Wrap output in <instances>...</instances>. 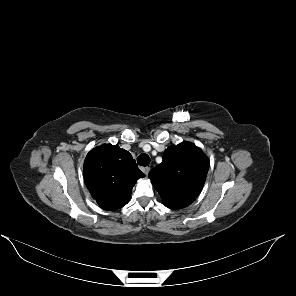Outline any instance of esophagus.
Returning <instances> with one entry per match:
<instances>
[{"label": "esophagus", "instance_id": "34e87169", "mask_svg": "<svg viewBox=\"0 0 296 296\" xmlns=\"http://www.w3.org/2000/svg\"><path fill=\"white\" fill-rule=\"evenodd\" d=\"M149 171H150L149 167L143 168V172L145 173L146 176L148 175Z\"/></svg>", "mask_w": 296, "mask_h": 296}]
</instances>
